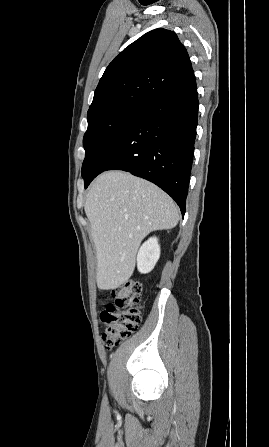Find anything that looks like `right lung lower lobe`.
Here are the masks:
<instances>
[{
  "instance_id": "1",
  "label": "right lung lower lobe",
  "mask_w": 269,
  "mask_h": 447,
  "mask_svg": "<svg viewBox=\"0 0 269 447\" xmlns=\"http://www.w3.org/2000/svg\"><path fill=\"white\" fill-rule=\"evenodd\" d=\"M194 71L142 104L89 168L85 188L101 172L124 170L155 183L185 214L198 117Z\"/></svg>"
}]
</instances>
